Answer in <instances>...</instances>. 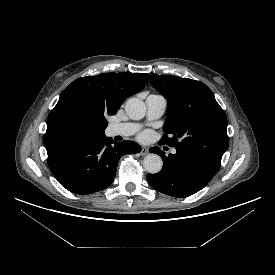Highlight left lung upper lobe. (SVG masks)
I'll return each mask as SVG.
<instances>
[{
	"mask_svg": "<svg viewBox=\"0 0 275 275\" xmlns=\"http://www.w3.org/2000/svg\"><path fill=\"white\" fill-rule=\"evenodd\" d=\"M151 84L167 99L166 134L160 143L220 166L229 138L225 113L213 92L200 81L172 75L151 74Z\"/></svg>",
	"mask_w": 275,
	"mask_h": 275,
	"instance_id": "5c2ea615",
	"label": "left lung upper lobe"
}]
</instances>
